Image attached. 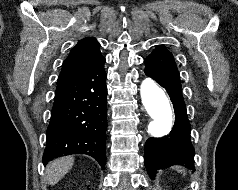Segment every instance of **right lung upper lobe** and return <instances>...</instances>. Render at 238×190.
I'll use <instances>...</instances> for the list:
<instances>
[{
	"instance_id": "right-lung-upper-lobe-1",
	"label": "right lung upper lobe",
	"mask_w": 238,
	"mask_h": 190,
	"mask_svg": "<svg viewBox=\"0 0 238 190\" xmlns=\"http://www.w3.org/2000/svg\"><path fill=\"white\" fill-rule=\"evenodd\" d=\"M99 47L100 44L95 38L87 37L80 40L64 60L57 85L87 72L102 61L104 57Z\"/></svg>"
}]
</instances>
